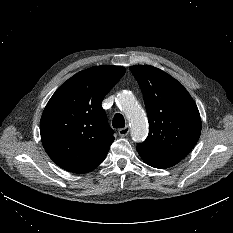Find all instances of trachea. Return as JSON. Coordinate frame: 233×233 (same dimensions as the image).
<instances>
[{
	"mask_svg": "<svg viewBox=\"0 0 233 233\" xmlns=\"http://www.w3.org/2000/svg\"><path fill=\"white\" fill-rule=\"evenodd\" d=\"M112 125L114 128H123L125 127V120L122 114L120 113H116L113 121H112Z\"/></svg>",
	"mask_w": 233,
	"mask_h": 233,
	"instance_id": "3493384b",
	"label": "trachea"
}]
</instances>
